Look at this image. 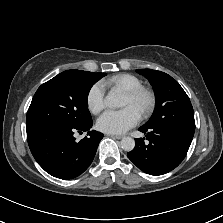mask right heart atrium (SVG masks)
I'll use <instances>...</instances> for the list:
<instances>
[{"label":"right heart atrium","instance_id":"right-heart-atrium-1","mask_svg":"<svg viewBox=\"0 0 223 223\" xmlns=\"http://www.w3.org/2000/svg\"><path fill=\"white\" fill-rule=\"evenodd\" d=\"M87 107L93 114H98L105 107V84L94 83L88 90L86 96Z\"/></svg>","mask_w":223,"mask_h":223}]
</instances>
